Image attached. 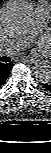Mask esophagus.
<instances>
[{"label":"esophagus","instance_id":"obj_1","mask_svg":"<svg viewBox=\"0 0 51 153\" xmlns=\"http://www.w3.org/2000/svg\"><path fill=\"white\" fill-rule=\"evenodd\" d=\"M23 62L27 63V64H34V63H37V60H35L33 58H24Z\"/></svg>","mask_w":51,"mask_h":153}]
</instances>
